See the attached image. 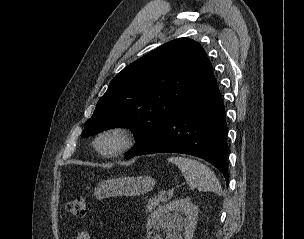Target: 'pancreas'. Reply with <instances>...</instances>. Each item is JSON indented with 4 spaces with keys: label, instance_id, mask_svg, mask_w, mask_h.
<instances>
[{
    "label": "pancreas",
    "instance_id": "cf45deb5",
    "mask_svg": "<svg viewBox=\"0 0 304 239\" xmlns=\"http://www.w3.org/2000/svg\"><path fill=\"white\" fill-rule=\"evenodd\" d=\"M162 195L155 196L152 200L148 201V204L145 207L146 212H151L154 208L159 206V203L164 201Z\"/></svg>",
    "mask_w": 304,
    "mask_h": 239
}]
</instances>
